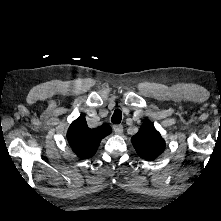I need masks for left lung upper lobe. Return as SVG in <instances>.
I'll return each mask as SVG.
<instances>
[{
  "instance_id": "5c2ea615",
  "label": "left lung upper lobe",
  "mask_w": 221,
  "mask_h": 221,
  "mask_svg": "<svg viewBox=\"0 0 221 221\" xmlns=\"http://www.w3.org/2000/svg\"><path fill=\"white\" fill-rule=\"evenodd\" d=\"M138 155L148 161L157 158L165 149V141L151 123H144L132 137Z\"/></svg>"
}]
</instances>
